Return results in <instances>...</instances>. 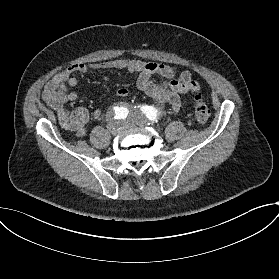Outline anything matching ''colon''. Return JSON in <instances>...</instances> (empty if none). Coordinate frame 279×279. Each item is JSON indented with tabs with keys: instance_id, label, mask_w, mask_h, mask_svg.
<instances>
[{
	"instance_id": "1",
	"label": "colon",
	"mask_w": 279,
	"mask_h": 279,
	"mask_svg": "<svg viewBox=\"0 0 279 279\" xmlns=\"http://www.w3.org/2000/svg\"><path fill=\"white\" fill-rule=\"evenodd\" d=\"M195 107L194 116L199 124H205L209 118V110L204 102V98L200 92H197L194 96Z\"/></svg>"
}]
</instances>
